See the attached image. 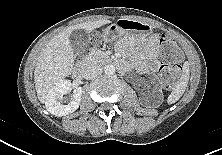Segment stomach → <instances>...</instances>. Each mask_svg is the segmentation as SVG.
<instances>
[{"mask_svg":"<svg viewBox=\"0 0 222 155\" xmlns=\"http://www.w3.org/2000/svg\"><path fill=\"white\" fill-rule=\"evenodd\" d=\"M152 30L153 28L150 24L122 18L115 24L104 28L101 37L105 42L124 40L132 46H136L145 43L152 34Z\"/></svg>","mask_w":222,"mask_h":155,"instance_id":"0dacf381","label":"stomach"}]
</instances>
